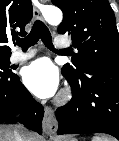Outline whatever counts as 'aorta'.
<instances>
[{
    "label": "aorta",
    "instance_id": "1",
    "mask_svg": "<svg viewBox=\"0 0 119 141\" xmlns=\"http://www.w3.org/2000/svg\"><path fill=\"white\" fill-rule=\"evenodd\" d=\"M46 21L51 25H58L61 23L63 15L60 9L51 7L44 13Z\"/></svg>",
    "mask_w": 119,
    "mask_h": 141
}]
</instances>
